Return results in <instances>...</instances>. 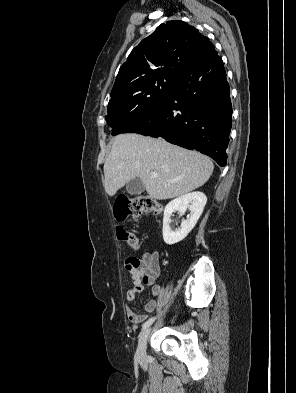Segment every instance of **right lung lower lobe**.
<instances>
[{
    "label": "right lung lower lobe",
    "mask_w": 296,
    "mask_h": 393,
    "mask_svg": "<svg viewBox=\"0 0 296 393\" xmlns=\"http://www.w3.org/2000/svg\"><path fill=\"white\" fill-rule=\"evenodd\" d=\"M231 126L229 84L223 61L213 46L178 77L166 97L121 133L162 137L225 166Z\"/></svg>",
    "instance_id": "98d812e1"
}]
</instances>
